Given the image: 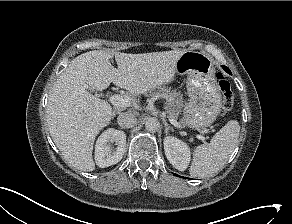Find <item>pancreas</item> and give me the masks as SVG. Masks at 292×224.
Returning <instances> with one entry per match:
<instances>
[{"instance_id":"pancreas-1","label":"pancreas","mask_w":292,"mask_h":224,"mask_svg":"<svg viewBox=\"0 0 292 224\" xmlns=\"http://www.w3.org/2000/svg\"><path fill=\"white\" fill-rule=\"evenodd\" d=\"M154 94L158 97L166 99L167 112L169 114V117L176 119L179 116V113L184 103L180 92L170 90L167 87H160Z\"/></svg>"}]
</instances>
